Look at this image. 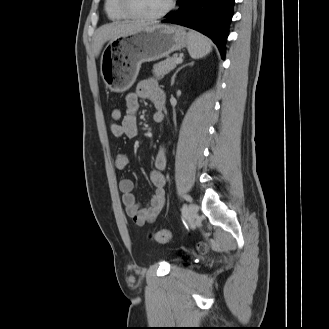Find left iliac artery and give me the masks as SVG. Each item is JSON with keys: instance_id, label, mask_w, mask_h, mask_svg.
Segmentation results:
<instances>
[{"instance_id": "left-iliac-artery-1", "label": "left iliac artery", "mask_w": 329, "mask_h": 329, "mask_svg": "<svg viewBox=\"0 0 329 329\" xmlns=\"http://www.w3.org/2000/svg\"><path fill=\"white\" fill-rule=\"evenodd\" d=\"M183 198H184L186 201H189V202L192 201V198H191L189 195H184Z\"/></svg>"}]
</instances>
